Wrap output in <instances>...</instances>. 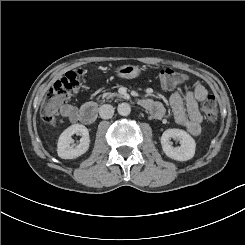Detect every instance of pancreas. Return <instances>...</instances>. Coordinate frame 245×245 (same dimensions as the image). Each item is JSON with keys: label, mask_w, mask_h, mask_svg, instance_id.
I'll use <instances>...</instances> for the list:
<instances>
[{"label": "pancreas", "mask_w": 245, "mask_h": 245, "mask_svg": "<svg viewBox=\"0 0 245 245\" xmlns=\"http://www.w3.org/2000/svg\"><path fill=\"white\" fill-rule=\"evenodd\" d=\"M112 97L124 98L123 95L118 94V93H105L102 96H98L97 99L99 100L100 98H102V100L105 101V99H110Z\"/></svg>", "instance_id": "1"}]
</instances>
